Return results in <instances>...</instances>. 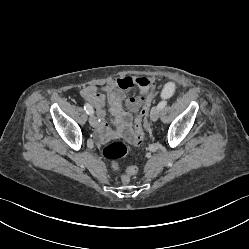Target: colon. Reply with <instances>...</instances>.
Here are the masks:
<instances>
[{"instance_id": "5ec220e1", "label": "colon", "mask_w": 249, "mask_h": 249, "mask_svg": "<svg viewBox=\"0 0 249 249\" xmlns=\"http://www.w3.org/2000/svg\"><path fill=\"white\" fill-rule=\"evenodd\" d=\"M148 108V105H142L141 107L137 108L134 135V144L136 146H140L144 141L145 119ZM102 154L106 159L116 160L125 157L128 154V149L122 142H111L103 148ZM115 168L117 169L118 167L115 166ZM137 171L138 169L135 166L122 169V181L127 183L130 179V176L136 174Z\"/></svg>"}]
</instances>
